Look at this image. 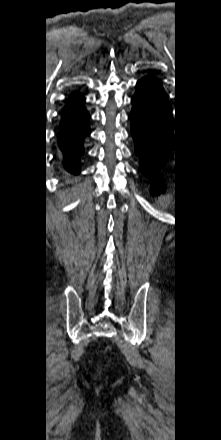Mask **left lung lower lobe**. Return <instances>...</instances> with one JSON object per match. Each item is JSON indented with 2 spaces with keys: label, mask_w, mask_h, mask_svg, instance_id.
Here are the masks:
<instances>
[{
  "label": "left lung lower lobe",
  "mask_w": 221,
  "mask_h": 440,
  "mask_svg": "<svg viewBox=\"0 0 221 440\" xmlns=\"http://www.w3.org/2000/svg\"><path fill=\"white\" fill-rule=\"evenodd\" d=\"M132 102L131 135L141 172L151 179L154 193H159L164 181L158 173L165 156L174 150V120L172 108L160 81L148 75L137 82Z\"/></svg>",
  "instance_id": "left-lung-lower-lobe-1"
}]
</instances>
